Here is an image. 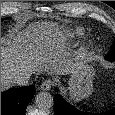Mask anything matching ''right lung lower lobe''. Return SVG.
Masks as SVG:
<instances>
[{
  "mask_svg": "<svg viewBox=\"0 0 115 115\" xmlns=\"http://www.w3.org/2000/svg\"><path fill=\"white\" fill-rule=\"evenodd\" d=\"M35 94L33 85L11 88L1 93V115H24L26 107Z\"/></svg>",
  "mask_w": 115,
  "mask_h": 115,
  "instance_id": "right-lung-lower-lobe-1",
  "label": "right lung lower lobe"
}]
</instances>
